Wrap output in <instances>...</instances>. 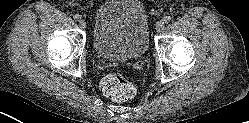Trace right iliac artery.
I'll return each mask as SVG.
<instances>
[{"instance_id": "1", "label": "right iliac artery", "mask_w": 249, "mask_h": 123, "mask_svg": "<svg viewBox=\"0 0 249 123\" xmlns=\"http://www.w3.org/2000/svg\"><path fill=\"white\" fill-rule=\"evenodd\" d=\"M73 18H74V20L78 21L81 17L79 14H75Z\"/></svg>"}]
</instances>
